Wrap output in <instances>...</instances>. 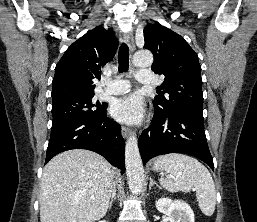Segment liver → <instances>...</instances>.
Returning <instances> with one entry per match:
<instances>
[{"label":"liver","instance_id":"6515ba94","mask_svg":"<svg viewBox=\"0 0 257 222\" xmlns=\"http://www.w3.org/2000/svg\"><path fill=\"white\" fill-rule=\"evenodd\" d=\"M114 187L111 165L99 154L60 153L43 170L40 221L95 222L105 216Z\"/></svg>","mask_w":257,"mask_h":222}]
</instances>
